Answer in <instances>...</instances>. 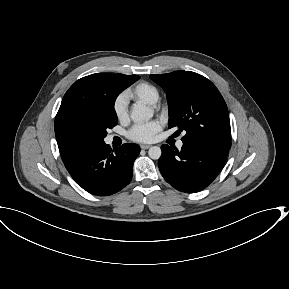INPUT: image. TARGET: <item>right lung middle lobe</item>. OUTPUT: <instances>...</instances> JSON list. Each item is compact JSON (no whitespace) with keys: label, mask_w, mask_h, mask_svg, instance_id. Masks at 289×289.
I'll return each instance as SVG.
<instances>
[{"label":"right lung middle lobe","mask_w":289,"mask_h":289,"mask_svg":"<svg viewBox=\"0 0 289 289\" xmlns=\"http://www.w3.org/2000/svg\"><path fill=\"white\" fill-rule=\"evenodd\" d=\"M137 75L121 74L99 95L94 109L69 118L61 130V140L67 151L80 158L104 143L107 129L118 123L114 102L118 94L137 81Z\"/></svg>","instance_id":"obj_1"}]
</instances>
